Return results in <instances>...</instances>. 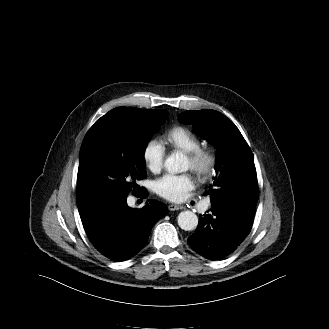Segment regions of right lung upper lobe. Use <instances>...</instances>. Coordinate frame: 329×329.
I'll return each mask as SVG.
<instances>
[{
  "label": "right lung upper lobe",
  "mask_w": 329,
  "mask_h": 329,
  "mask_svg": "<svg viewBox=\"0 0 329 329\" xmlns=\"http://www.w3.org/2000/svg\"><path fill=\"white\" fill-rule=\"evenodd\" d=\"M137 109V108H136ZM139 111H141L142 113H144V114H149V113H151L153 110H140V109H138ZM91 132H92V129L90 128V130L87 132V134H86V136H85V138H84V140H86L88 137H89V135L91 134ZM84 140H83V142H84ZM83 144V143H82Z\"/></svg>",
  "instance_id": "cb5924a9"
}]
</instances>
